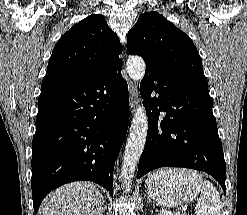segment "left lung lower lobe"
Masks as SVG:
<instances>
[{
    "label": "left lung lower lobe",
    "instance_id": "0a47b994",
    "mask_svg": "<svg viewBox=\"0 0 247 215\" xmlns=\"http://www.w3.org/2000/svg\"><path fill=\"white\" fill-rule=\"evenodd\" d=\"M140 93L149 127L137 178L164 166L192 168L209 173L226 193V164L208 87L146 68Z\"/></svg>",
    "mask_w": 247,
    "mask_h": 215
}]
</instances>
